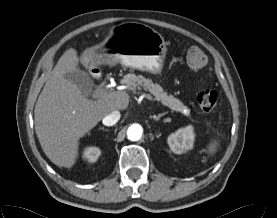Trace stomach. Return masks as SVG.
<instances>
[{
  "label": "stomach",
  "instance_id": "stomach-1",
  "mask_svg": "<svg viewBox=\"0 0 277 218\" xmlns=\"http://www.w3.org/2000/svg\"><path fill=\"white\" fill-rule=\"evenodd\" d=\"M167 53L166 43L160 33L138 22H124L115 26L106 39L87 49L81 56L84 64L120 63L125 67L160 74Z\"/></svg>",
  "mask_w": 277,
  "mask_h": 218
}]
</instances>
